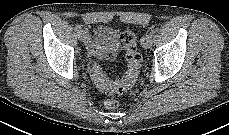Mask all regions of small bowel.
Segmentation results:
<instances>
[{
    "instance_id": "c3829d8e",
    "label": "small bowel",
    "mask_w": 229,
    "mask_h": 135,
    "mask_svg": "<svg viewBox=\"0 0 229 135\" xmlns=\"http://www.w3.org/2000/svg\"><path fill=\"white\" fill-rule=\"evenodd\" d=\"M103 39L107 43L106 50L99 49L97 47L96 40H94L92 43H90V47H91L93 53H95L101 57H106L107 53H115L118 49V42L116 40L115 32H113L111 30H106L103 33Z\"/></svg>"
}]
</instances>
